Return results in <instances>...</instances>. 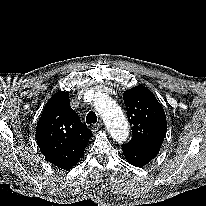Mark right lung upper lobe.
Masks as SVG:
<instances>
[{
	"instance_id": "obj_1",
	"label": "right lung upper lobe",
	"mask_w": 206,
	"mask_h": 206,
	"mask_svg": "<svg viewBox=\"0 0 206 206\" xmlns=\"http://www.w3.org/2000/svg\"><path fill=\"white\" fill-rule=\"evenodd\" d=\"M92 132L71 108L68 91H59L46 103L36 128L37 144L45 159L69 170L82 157Z\"/></svg>"
}]
</instances>
